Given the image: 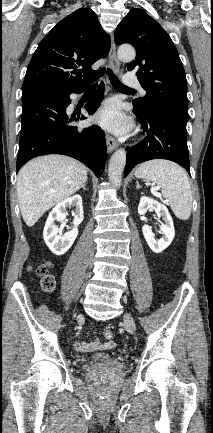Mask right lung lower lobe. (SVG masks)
<instances>
[{"mask_svg": "<svg viewBox=\"0 0 213 433\" xmlns=\"http://www.w3.org/2000/svg\"><path fill=\"white\" fill-rule=\"evenodd\" d=\"M88 84L66 93L23 92L16 172L34 157L62 154L80 160L92 169L97 177L102 174L107 157L103 131L95 125L84 129L70 125L72 121L78 122L86 117H68L66 114V107L71 103L70 94L83 92ZM103 98L104 84L101 83L86 105L89 114L97 110Z\"/></svg>", "mask_w": 213, "mask_h": 433, "instance_id": "98d812e1", "label": "right lung lower lobe"}]
</instances>
